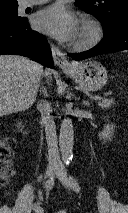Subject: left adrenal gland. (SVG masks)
I'll return each mask as SVG.
<instances>
[{
  "instance_id": "left-adrenal-gland-1",
  "label": "left adrenal gland",
  "mask_w": 128,
  "mask_h": 213,
  "mask_svg": "<svg viewBox=\"0 0 128 213\" xmlns=\"http://www.w3.org/2000/svg\"><path fill=\"white\" fill-rule=\"evenodd\" d=\"M83 105L89 107V103L87 101H83Z\"/></svg>"
}]
</instances>
